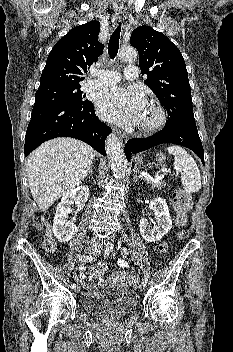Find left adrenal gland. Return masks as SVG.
<instances>
[{
  "mask_svg": "<svg viewBox=\"0 0 233 352\" xmlns=\"http://www.w3.org/2000/svg\"><path fill=\"white\" fill-rule=\"evenodd\" d=\"M138 178H140L139 176H137V170H134V182H136L138 180Z\"/></svg>",
  "mask_w": 233,
  "mask_h": 352,
  "instance_id": "a2214340",
  "label": "left adrenal gland"
}]
</instances>
